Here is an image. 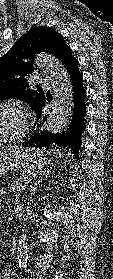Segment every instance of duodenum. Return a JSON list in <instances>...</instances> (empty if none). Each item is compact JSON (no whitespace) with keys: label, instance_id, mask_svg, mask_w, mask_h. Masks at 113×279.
<instances>
[{"label":"duodenum","instance_id":"1","mask_svg":"<svg viewBox=\"0 0 113 279\" xmlns=\"http://www.w3.org/2000/svg\"><path fill=\"white\" fill-rule=\"evenodd\" d=\"M24 212V206L21 203L15 205V215L16 217H21Z\"/></svg>","mask_w":113,"mask_h":279}]
</instances>
